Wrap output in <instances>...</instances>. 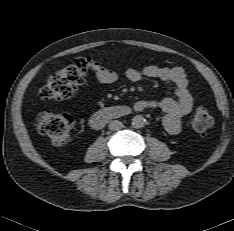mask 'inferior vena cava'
Returning a JSON list of instances; mask_svg holds the SVG:
<instances>
[{"label": "inferior vena cava", "mask_w": 234, "mask_h": 231, "mask_svg": "<svg viewBox=\"0 0 234 231\" xmlns=\"http://www.w3.org/2000/svg\"><path fill=\"white\" fill-rule=\"evenodd\" d=\"M123 123L118 120H113L109 123L108 127L110 130L117 131L123 128Z\"/></svg>", "instance_id": "602c4592"}]
</instances>
